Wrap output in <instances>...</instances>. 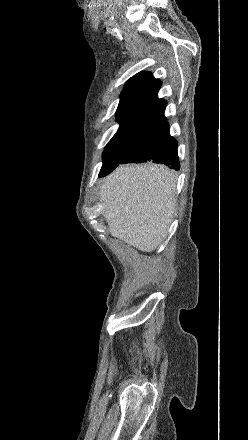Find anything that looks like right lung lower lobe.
Wrapping results in <instances>:
<instances>
[{
    "label": "right lung lower lobe",
    "mask_w": 248,
    "mask_h": 440,
    "mask_svg": "<svg viewBox=\"0 0 248 440\" xmlns=\"http://www.w3.org/2000/svg\"><path fill=\"white\" fill-rule=\"evenodd\" d=\"M147 161L169 165L175 170L180 168L177 142L169 134L164 111L133 131L128 138L120 164Z\"/></svg>",
    "instance_id": "98d812e1"
}]
</instances>
